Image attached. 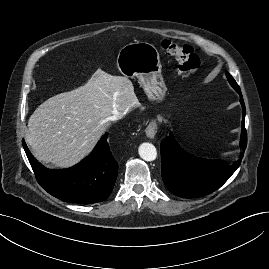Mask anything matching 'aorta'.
Instances as JSON below:
<instances>
[{"label": "aorta", "instance_id": "762f6f07", "mask_svg": "<svg viewBox=\"0 0 269 269\" xmlns=\"http://www.w3.org/2000/svg\"><path fill=\"white\" fill-rule=\"evenodd\" d=\"M140 157L145 161H153L157 157V150L151 143H142L138 148Z\"/></svg>", "mask_w": 269, "mask_h": 269}]
</instances>
